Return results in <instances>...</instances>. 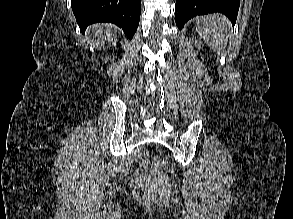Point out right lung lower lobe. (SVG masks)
I'll list each match as a JSON object with an SVG mask.
<instances>
[{
	"label": "right lung lower lobe",
	"instance_id": "1",
	"mask_svg": "<svg viewBox=\"0 0 293 219\" xmlns=\"http://www.w3.org/2000/svg\"><path fill=\"white\" fill-rule=\"evenodd\" d=\"M71 7L83 33L90 24L110 22L122 28L129 39L141 14V0H71Z\"/></svg>",
	"mask_w": 293,
	"mask_h": 219
}]
</instances>
